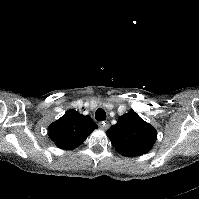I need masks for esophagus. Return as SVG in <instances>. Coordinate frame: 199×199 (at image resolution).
Wrapping results in <instances>:
<instances>
[{"mask_svg": "<svg viewBox=\"0 0 199 199\" xmlns=\"http://www.w3.org/2000/svg\"><path fill=\"white\" fill-rule=\"evenodd\" d=\"M99 127L103 130H107L110 127V124L108 122L103 121L99 123Z\"/></svg>", "mask_w": 199, "mask_h": 199, "instance_id": "34e87169", "label": "esophagus"}]
</instances>
